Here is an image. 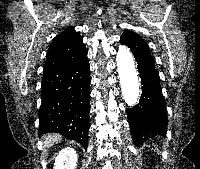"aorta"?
I'll return each mask as SVG.
<instances>
[{
    "label": "aorta",
    "mask_w": 200,
    "mask_h": 169,
    "mask_svg": "<svg viewBox=\"0 0 200 169\" xmlns=\"http://www.w3.org/2000/svg\"><path fill=\"white\" fill-rule=\"evenodd\" d=\"M116 62L123 98L128 106H134L140 93L139 79L132 53L126 46L119 47Z\"/></svg>",
    "instance_id": "obj_1"
}]
</instances>
